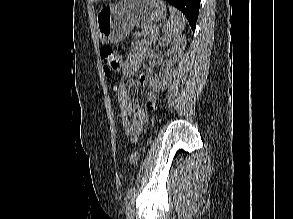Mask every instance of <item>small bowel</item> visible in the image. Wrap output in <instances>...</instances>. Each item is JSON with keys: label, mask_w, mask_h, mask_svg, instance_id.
I'll use <instances>...</instances> for the list:
<instances>
[{"label": "small bowel", "mask_w": 293, "mask_h": 219, "mask_svg": "<svg viewBox=\"0 0 293 219\" xmlns=\"http://www.w3.org/2000/svg\"><path fill=\"white\" fill-rule=\"evenodd\" d=\"M150 50V44L147 41H139L131 47L126 59L121 65V73L123 78L134 75L139 69L141 63L145 60ZM146 84V77L141 75L134 80L131 85L134 87H142ZM115 96L120 104V117L124 134L129 138L131 143H136L141 135L147 121L148 115L143 110L140 103L134 102L129 97V85L122 80L115 87ZM147 110L151 111L155 108L157 95L153 91L146 94Z\"/></svg>", "instance_id": "obj_1"}]
</instances>
